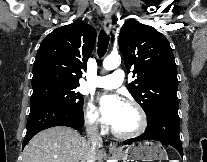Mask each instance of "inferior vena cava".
<instances>
[{
  "label": "inferior vena cava",
  "mask_w": 207,
  "mask_h": 162,
  "mask_svg": "<svg viewBox=\"0 0 207 162\" xmlns=\"http://www.w3.org/2000/svg\"><path fill=\"white\" fill-rule=\"evenodd\" d=\"M86 134L87 141L90 144L87 162H94L96 160L97 151L103 145L102 138L98 133V123L90 121L86 128Z\"/></svg>",
  "instance_id": "1"
}]
</instances>
